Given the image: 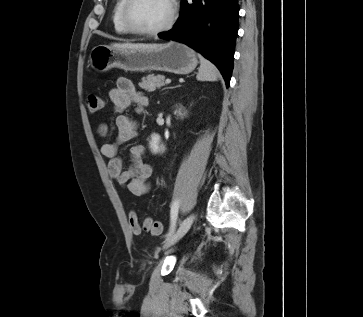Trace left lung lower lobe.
Here are the masks:
<instances>
[{"instance_id":"0a47b994","label":"left lung lower lobe","mask_w":363,"mask_h":317,"mask_svg":"<svg viewBox=\"0 0 363 317\" xmlns=\"http://www.w3.org/2000/svg\"><path fill=\"white\" fill-rule=\"evenodd\" d=\"M238 0H181L175 26L158 36L185 43L213 62L229 86L238 31Z\"/></svg>"}]
</instances>
